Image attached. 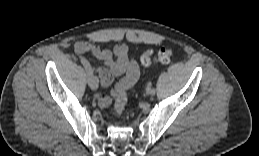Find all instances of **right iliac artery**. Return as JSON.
<instances>
[{
	"label": "right iliac artery",
	"mask_w": 259,
	"mask_h": 156,
	"mask_svg": "<svg viewBox=\"0 0 259 156\" xmlns=\"http://www.w3.org/2000/svg\"><path fill=\"white\" fill-rule=\"evenodd\" d=\"M82 65L85 67L86 69V72H87V76H88V83H90V81L92 80L93 78V72H92V68L89 64V62L85 59V58H81L80 59Z\"/></svg>",
	"instance_id": "1"
}]
</instances>
